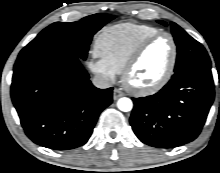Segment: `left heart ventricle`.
Returning <instances> with one entry per match:
<instances>
[{"mask_svg": "<svg viewBox=\"0 0 220 173\" xmlns=\"http://www.w3.org/2000/svg\"><path fill=\"white\" fill-rule=\"evenodd\" d=\"M171 58V43L167 37L152 42L142 54L129 76L136 87H147L157 82L167 70Z\"/></svg>", "mask_w": 220, "mask_h": 173, "instance_id": "left-heart-ventricle-1", "label": "left heart ventricle"}]
</instances>
